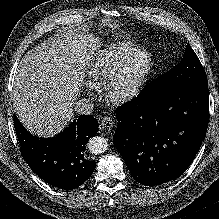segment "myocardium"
<instances>
[{
	"mask_svg": "<svg viewBox=\"0 0 219 219\" xmlns=\"http://www.w3.org/2000/svg\"><path fill=\"white\" fill-rule=\"evenodd\" d=\"M140 57L146 58V66L138 76V78L131 84V86L127 88L121 87V80L124 71L127 69L129 65L134 63ZM153 68V60L151 55L144 51L139 50L124 59L122 62L118 64V66L113 70L110 74L106 82L104 83L103 92L106 100L114 105H122L130 102L134 99L142 87L144 86L148 76L150 75Z\"/></svg>",
	"mask_w": 219,
	"mask_h": 219,
	"instance_id": "myocardium-1",
	"label": "myocardium"
}]
</instances>
